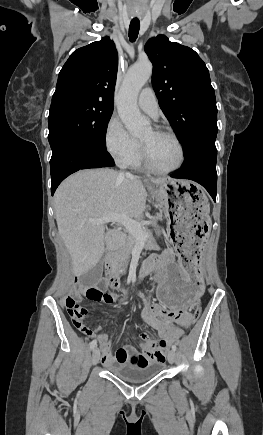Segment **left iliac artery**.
<instances>
[{"label":"left iliac artery","instance_id":"obj_1","mask_svg":"<svg viewBox=\"0 0 263 435\" xmlns=\"http://www.w3.org/2000/svg\"><path fill=\"white\" fill-rule=\"evenodd\" d=\"M172 350H174V351H176V350H177V347H176V345H172Z\"/></svg>","mask_w":263,"mask_h":435}]
</instances>
